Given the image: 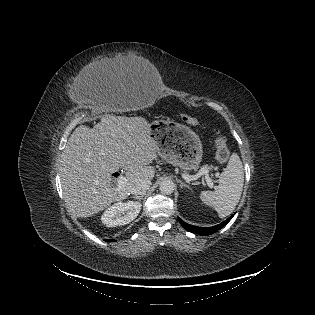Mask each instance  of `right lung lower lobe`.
I'll return each mask as SVG.
<instances>
[{"instance_id": "1", "label": "right lung lower lobe", "mask_w": 315, "mask_h": 315, "mask_svg": "<svg viewBox=\"0 0 315 315\" xmlns=\"http://www.w3.org/2000/svg\"><path fill=\"white\" fill-rule=\"evenodd\" d=\"M106 241L111 242V241H113V240H106Z\"/></svg>"}]
</instances>
